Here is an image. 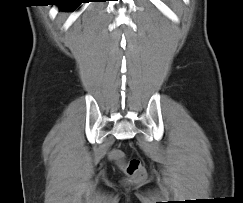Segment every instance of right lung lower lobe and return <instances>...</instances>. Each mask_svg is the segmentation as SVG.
<instances>
[{
    "label": "right lung lower lobe",
    "instance_id": "98d812e1",
    "mask_svg": "<svg viewBox=\"0 0 243 203\" xmlns=\"http://www.w3.org/2000/svg\"><path fill=\"white\" fill-rule=\"evenodd\" d=\"M87 2V0H65L58 5L60 9L72 10L75 9L80 3Z\"/></svg>",
    "mask_w": 243,
    "mask_h": 203
}]
</instances>
